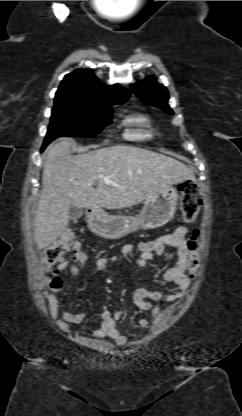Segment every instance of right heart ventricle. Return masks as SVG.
I'll use <instances>...</instances> for the list:
<instances>
[{
    "label": "right heart ventricle",
    "mask_w": 242,
    "mask_h": 416,
    "mask_svg": "<svg viewBox=\"0 0 242 416\" xmlns=\"http://www.w3.org/2000/svg\"><path fill=\"white\" fill-rule=\"evenodd\" d=\"M136 126L141 129L131 132L129 135L133 138H143L148 136V131L146 130L149 127L150 121L146 116H138L130 119Z\"/></svg>",
    "instance_id": "obj_1"
}]
</instances>
